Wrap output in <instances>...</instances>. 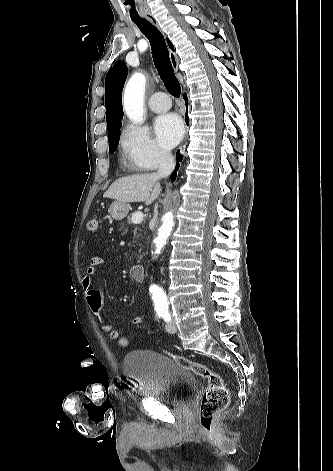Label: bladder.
<instances>
[{
  "instance_id": "bladder-1",
  "label": "bladder",
  "mask_w": 333,
  "mask_h": 471,
  "mask_svg": "<svg viewBox=\"0 0 333 471\" xmlns=\"http://www.w3.org/2000/svg\"><path fill=\"white\" fill-rule=\"evenodd\" d=\"M123 374L137 384L135 392L162 404L180 405L195 392L193 374L165 354L152 350H135L125 355Z\"/></svg>"
}]
</instances>
